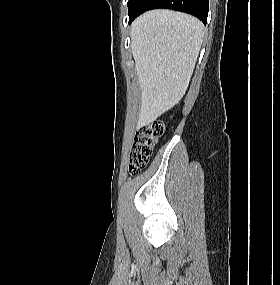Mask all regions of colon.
<instances>
[{
	"mask_svg": "<svg viewBox=\"0 0 280 285\" xmlns=\"http://www.w3.org/2000/svg\"><path fill=\"white\" fill-rule=\"evenodd\" d=\"M163 131L164 127L160 122L145 124L139 129L129 155V171L132 175L148 165Z\"/></svg>",
	"mask_w": 280,
	"mask_h": 285,
	"instance_id": "5ec220e1",
	"label": "colon"
}]
</instances>
